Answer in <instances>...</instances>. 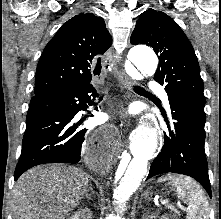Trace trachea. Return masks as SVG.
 <instances>
[{
	"mask_svg": "<svg viewBox=\"0 0 221 219\" xmlns=\"http://www.w3.org/2000/svg\"><path fill=\"white\" fill-rule=\"evenodd\" d=\"M134 90L139 93V94H144V95H151L148 91L138 87V86H135L134 87Z\"/></svg>",
	"mask_w": 221,
	"mask_h": 219,
	"instance_id": "obj_1",
	"label": "trachea"
}]
</instances>
